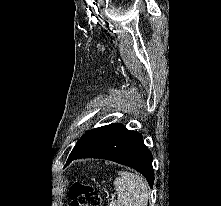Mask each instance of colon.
<instances>
[{
    "mask_svg": "<svg viewBox=\"0 0 221 206\" xmlns=\"http://www.w3.org/2000/svg\"><path fill=\"white\" fill-rule=\"evenodd\" d=\"M72 206H101V197L93 187L74 183L69 191Z\"/></svg>",
    "mask_w": 221,
    "mask_h": 206,
    "instance_id": "colon-1",
    "label": "colon"
}]
</instances>
